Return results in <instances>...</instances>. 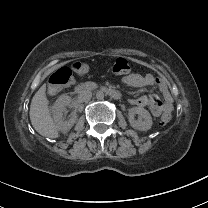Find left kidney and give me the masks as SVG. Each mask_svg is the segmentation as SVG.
Wrapping results in <instances>:
<instances>
[{"label": "left kidney", "instance_id": "obj_1", "mask_svg": "<svg viewBox=\"0 0 208 208\" xmlns=\"http://www.w3.org/2000/svg\"><path fill=\"white\" fill-rule=\"evenodd\" d=\"M134 114H138L144 121L134 120ZM128 122L133 129L142 132L150 130L153 124L151 114L145 108L138 106L128 109Z\"/></svg>", "mask_w": 208, "mask_h": 208}]
</instances>
